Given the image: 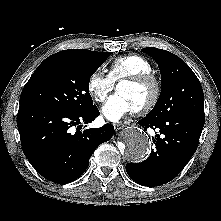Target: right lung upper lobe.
Segmentation results:
<instances>
[{"label":"right lung upper lobe","mask_w":221,"mask_h":221,"mask_svg":"<svg viewBox=\"0 0 221 221\" xmlns=\"http://www.w3.org/2000/svg\"><path fill=\"white\" fill-rule=\"evenodd\" d=\"M98 53L99 52L85 50V49H69V50L60 51L54 55L71 57L75 59L89 60L97 56Z\"/></svg>","instance_id":"right-lung-upper-lobe-1"}]
</instances>
